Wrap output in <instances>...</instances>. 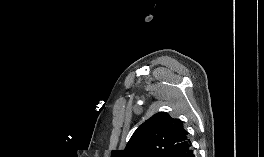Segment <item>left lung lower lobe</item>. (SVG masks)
<instances>
[{
    "label": "left lung lower lobe",
    "mask_w": 264,
    "mask_h": 157,
    "mask_svg": "<svg viewBox=\"0 0 264 157\" xmlns=\"http://www.w3.org/2000/svg\"><path fill=\"white\" fill-rule=\"evenodd\" d=\"M190 157H196V156H195L194 153L192 152V154L190 155Z\"/></svg>",
    "instance_id": "left-lung-lower-lobe-1"
}]
</instances>
